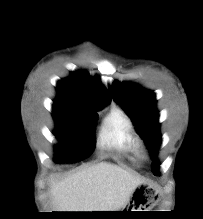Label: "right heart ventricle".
Returning a JSON list of instances; mask_svg holds the SVG:
<instances>
[{
    "label": "right heart ventricle",
    "instance_id": "obj_1",
    "mask_svg": "<svg viewBox=\"0 0 203 219\" xmlns=\"http://www.w3.org/2000/svg\"><path fill=\"white\" fill-rule=\"evenodd\" d=\"M100 146L135 160L139 158L140 144L128 116L114 108L105 118L100 132Z\"/></svg>",
    "mask_w": 203,
    "mask_h": 219
}]
</instances>
